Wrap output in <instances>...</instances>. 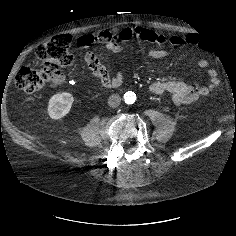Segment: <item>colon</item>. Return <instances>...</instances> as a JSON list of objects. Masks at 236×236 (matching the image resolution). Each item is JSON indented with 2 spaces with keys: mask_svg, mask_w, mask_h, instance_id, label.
<instances>
[{
  "mask_svg": "<svg viewBox=\"0 0 236 236\" xmlns=\"http://www.w3.org/2000/svg\"><path fill=\"white\" fill-rule=\"evenodd\" d=\"M70 40L59 36L52 38L35 49L36 61L22 68L16 75V86L26 93L40 90L46 83L59 78L60 69L71 64Z\"/></svg>",
  "mask_w": 236,
  "mask_h": 236,
  "instance_id": "colon-1",
  "label": "colon"
}]
</instances>
